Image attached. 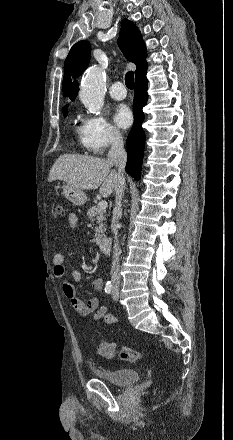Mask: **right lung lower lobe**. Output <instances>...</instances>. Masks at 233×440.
I'll return each instance as SVG.
<instances>
[{"label":"right lung lower lobe","instance_id":"98d812e1","mask_svg":"<svg viewBox=\"0 0 233 440\" xmlns=\"http://www.w3.org/2000/svg\"><path fill=\"white\" fill-rule=\"evenodd\" d=\"M146 73L135 80V96L133 103L134 124L127 138V164L126 171L135 179L140 178V170L143 159L145 134L141 127L144 120L142 108L145 106L147 94Z\"/></svg>","mask_w":233,"mask_h":440}]
</instances>
